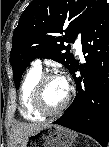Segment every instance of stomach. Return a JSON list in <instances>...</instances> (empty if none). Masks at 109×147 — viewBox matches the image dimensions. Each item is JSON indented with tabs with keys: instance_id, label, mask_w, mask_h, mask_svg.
I'll return each instance as SVG.
<instances>
[{
	"instance_id": "stomach-1",
	"label": "stomach",
	"mask_w": 109,
	"mask_h": 147,
	"mask_svg": "<svg viewBox=\"0 0 109 147\" xmlns=\"http://www.w3.org/2000/svg\"><path fill=\"white\" fill-rule=\"evenodd\" d=\"M76 136L67 128L48 124L28 137L26 147H71Z\"/></svg>"
}]
</instances>
